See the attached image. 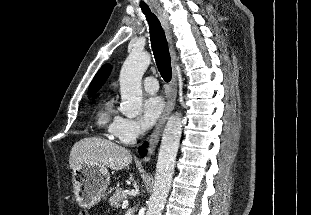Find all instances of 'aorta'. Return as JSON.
<instances>
[{
    "label": "aorta",
    "instance_id": "aorta-1",
    "mask_svg": "<svg viewBox=\"0 0 311 215\" xmlns=\"http://www.w3.org/2000/svg\"><path fill=\"white\" fill-rule=\"evenodd\" d=\"M150 61L151 57L147 52L133 51L121 68L119 82L122 103L120 110L128 118H135L142 112L141 80ZM181 134V114L175 113L168 119L163 131L153 193L148 202L146 215H161L171 186Z\"/></svg>",
    "mask_w": 311,
    "mask_h": 215
}]
</instances>
